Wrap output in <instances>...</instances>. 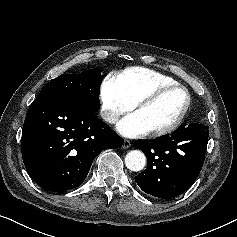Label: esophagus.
<instances>
[{
	"label": "esophagus",
	"instance_id": "34e87169",
	"mask_svg": "<svg viewBox=\"0 0 237 237\" xmlns=\"http://www.w3.org/2000/svg\"><path fill=\"white\" fill-rule=\"evenodd\" d=\"M124 149H127L129 147H131V142L129 140H124L123 142V146H122Z\"/></svg>",
	"mask_w": 237,
	"mask_h": 237
}]
</instances>
